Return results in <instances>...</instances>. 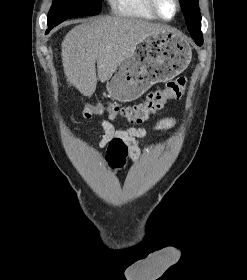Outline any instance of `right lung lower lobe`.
Masks as SVG:
<instances>
[{
	"label": "right lung lower lobe",
	"mask_w": 247,
	"mask_h": 280,
	"mask_svg": "<svg viewBox=\"0 0 247 280\" xmlns=\"http://www.w3.org/2000/svg\"><path fill=\"white\" fill-rule=\"evenodd\" d=\"M51 29H48L47 31H46V34L50 31Z\"/></svg>",
	"instance_id": "98d812e1"
}]
</instances>
